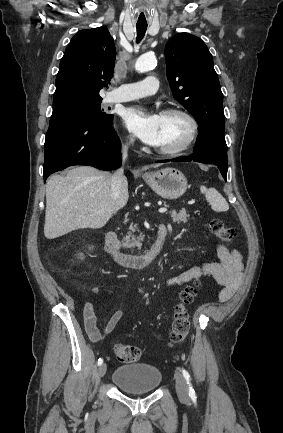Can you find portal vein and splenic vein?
Here are the masks:
<instances>
[{
	"label": "portal vein and splenic vein",
	"mask_w": 283,
	"mask_h": 433,
	"mask_svg": "<svg viewBox=\"0 0 283 433\" xmlns=\"http://www.w3.org/2000/svg\"><path fill=\"white\" fill-rule=\"evenodd\" d=\"M167 208H165V206H163V208H158V212H166Z\"/></svg>",
	"instance_id": "obj_1"
}]
</instances>
